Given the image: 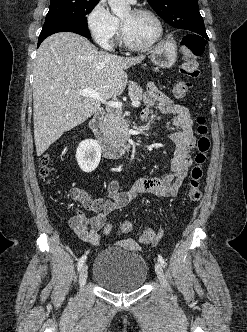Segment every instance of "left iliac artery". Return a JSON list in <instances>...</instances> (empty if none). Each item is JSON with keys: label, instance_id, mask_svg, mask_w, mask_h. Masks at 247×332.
Instances as JSON below:
<instances>
[{"label": "left iliac artery", "instance_id": "obj_1", "mask_svg": "<svg viewBox=\"0 0 247 332\" xmlns=\"http://www.w3.org/2000/svg\"><path fill=\"white\" fill-rule=\"evenodd\" d=\"M158 260L160 261L161 265L165 268L166 262L160 254L158 255Z\"/></svg>", "mask_w": 247, "mask_h": 332}]
</instances>
